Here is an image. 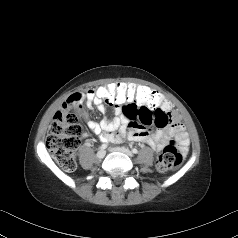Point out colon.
I'll use <instances>...</instances> for the list:
<instances>
[{"label": "colon", "instance_id": "obj_1", "mask_svg": "<svg viewBox=\"0 0 238 238\" xmlns=\"http://www.w3.org/2000/svg\"><path fill=\"white\" fill-rule=\"evenodd\" d=\"M96 94L103 103H128L133 106H145L140 113V121L144 124L153 123L150 109H158L165 100L156 90L148 85H135L133 83L110 82L98 86ZM80 100V96L69 98L63 110L56 113L50 126L46 140L47 147L54 160L66 171L76 169L75 152L79 146L81 127L77 115L71 110L72 106ZM182 161L174 141L167 145L157 159V169L161 172L177 167Z\"/></svg>", "mask_w": 238, "mask_h": 238}]
</instances>
